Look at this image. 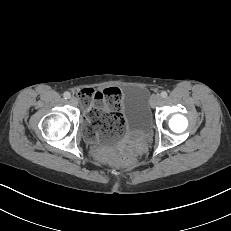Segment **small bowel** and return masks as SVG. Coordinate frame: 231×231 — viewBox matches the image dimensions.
<instances>
[{"label":"small bowel","instance_id":"1","mask_svg":"<svg viewBox=\"0 0 231 231\" xmlns=\"http://www.w3.org/2000/svg\"><path fill=\"white\" fill-rule=\"evenodd\" d=\"M102 140L104 141V140H106V138L102 137Z\"/></svg>","mask_w":231,"mask_h":231}]
</instances>
